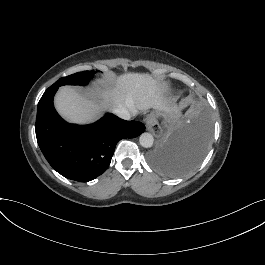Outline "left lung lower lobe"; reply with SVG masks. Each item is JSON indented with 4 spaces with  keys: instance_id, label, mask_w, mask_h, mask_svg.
Masks as SVG:
<instances>
[{
    "instance_id": "left-lung-lower-lobe-1",
    "label": "left lung lower lobe",
    "mask_w": 265,
    "mask_h": 265,
    "mask_svg": "<svg viewBox=\"0 0 265 265\" xmlns=\"http://www.w3.org/2000/svg\"><path fill=\"white\" fill-rule=\"evenodd\" d=\"M210 137L209 116L201 111L182 129L161 141L149 154L148 160L165 175L178 177L200 163L208 149Z\"/></svg>"
}]
</instances>
